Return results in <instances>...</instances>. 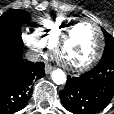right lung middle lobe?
<instances>
[{"instance_id": "1", "label": "right lung middle lobe", "mask_w": 114, "mask_h": 114, "mask_svg": "<svg viewBox=\"0 0 114 114\" xmlns=\"http://www.w3.org/2000/svg\"><path fill=\"white\" fill-rule=\"evenodd\" d=\"M24 10L12 9L0 17V44L23 46L21 25L28 19Z\"/></svg>"}]
</instances>
